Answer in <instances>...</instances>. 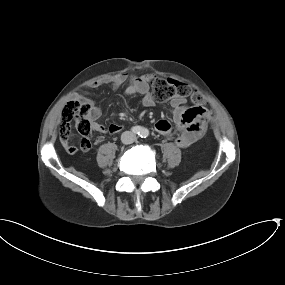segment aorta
<instances>
[{
    "mask_svg": "<svg viewBox=\"0 0 285 285\" xmlns=\"http://www.w3.org/2000/svg\"><path fill=\"white\" fill-rule=\"evenodd\" d=\"M148 134H149L148 129L143 128L142 131H141V135L144 136V137H146V136H148Z\"/></svg>",
    "mask_w": 285,
    "mask_h": 285,
    "instance_id": "aorta-1",
    "label": "aorta"
}]
</instances>
